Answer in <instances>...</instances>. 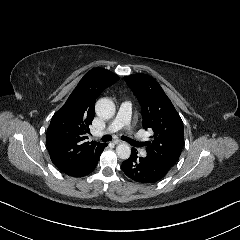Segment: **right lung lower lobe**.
<instances>
[{"instance_id": "98d812e1", "label": "right lung lower lobe", "mask_w": 240, "mask_h": 240, "mask_svg": "<svg viewBox=\"0 0 240 240\" xmlns=\"http://www.w3.org/2000/svg\"><path fill=\"white\" fill-rule=\"evenodd\" d=\"M104 148H103V150H104ZM103 150H101L97 154L90 157L87 160V162L85 164H83L82 166H80L78 168H75V169H72V170L62 171V172L66 175L73 176V177H83L85 175H88L89 173H91L95 169V167L98 163L99 157H100Z\"/></svg>"}]
</instances>
